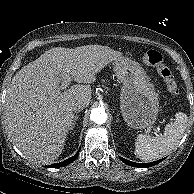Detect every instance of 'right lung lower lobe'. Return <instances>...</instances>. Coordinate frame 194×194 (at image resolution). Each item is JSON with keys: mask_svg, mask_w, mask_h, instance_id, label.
I'll return each mask as SVG.
<instances>
[{"mask_svg": "<svg viewBox=\"0 0 194 194\" xmlns=\"http://www.w3.org/2000/svg\"><path fill=\"white\" fill-rule=\"evenodd\" d=\"M78 154H79V151H78V153H76V155L75 156H73V157H70V158H68V159H66V160H64L63 162H59V163H56V164H53V165H50V166H48V167H51V168H58V167H63V166H66V165H68V164H70V163H72L73 161H75L76 160V158L78 157Z\"/></svg>", "mask_w": 194, "mask_h": 194, "instance_id": "right-lung-lower-lobe-1", "label": "right lung lower lobe"}]
</instances>
